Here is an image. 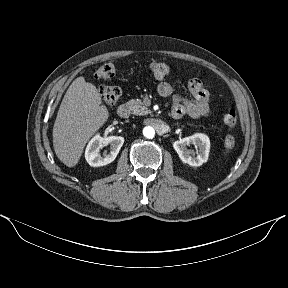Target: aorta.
I'll return each mask as SVG.
<instances>
[{
  "label": "aorta",
  "mask_w": 288,
  "mask_h": 288,
  "mask_svg": "<svg viewBox=\"0 0 288 288\" xmlns=\"http://www.w3.org/2000/svg\"><path fill=\"white\" fill-rule=\"evenodd\" d=\"M143 134L146 138L152 139L155 136V130L151 126H147L143 129Z\"/></svg>",
  "instance_id": "762f6f07"
}]
</instances>
